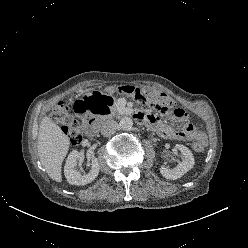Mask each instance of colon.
I'll list each match as a JSON object with an SVG mask.
<instances>
[{
    "mask_svg": "<svg viewBox=\"0 0 248 248\" xmlns=\"http://www.w3.org/2000/svg\"><path fill=\"white\" fill-rule=\"evenodd\" d=\"M115 91L126 93L142 104L149 105L152 109L166 118L185 119L186 113L180 108H174L173 100L165 93L154 90H142L134 86H122L115 88ZM52 119L59 125L68 136L71 143L79 144L83 137V128L79 120L75 119L70 112L68 105L59 103L52 111ZM206 141L196 139L192 143V148L196 152H202L205 149Z\"/></svg>",
    "mask_w": 248,
    "mask_h": 248,
    "instance_id": "colon-1",
    "label": "colon"
}]
</instances>
